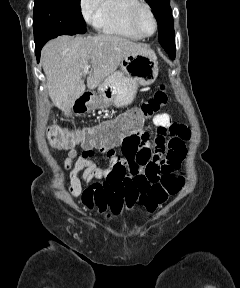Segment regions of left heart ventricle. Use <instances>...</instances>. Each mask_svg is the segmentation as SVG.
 <instances>
[{
	"instance_id": "1",
	"label": "left heart ventricle",
	"mask_w": 240,
	"mask_h": 288,
	"mask_svg": "<svg viewBox=\"0 0 240 288\" xmlns=\"http://www.w3.org/2000/svg\"><path fill=\"white\" fill-rule=\"evenodd\" d=\"M137 26L140 32L145 35H150L153 33L155 24L150 13L146 9H141L138 13Z\"/></svg>"
}]
</instances>
